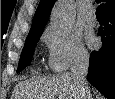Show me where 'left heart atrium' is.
<instances>
[{
  "label": "left heart atrium",
  "mask_w": 115,
  "mask_h": 99,
  "mask_svg": "<svg viewBox=\"0 0 115 99\" xmlns=\"http://www.w3.org/2000/svg\"><path fill=\"white\" fill-rule=\"evenodd\" d=\"M89 44L93 47L96 44V39L93 36L88 38Z\"/></svg>",
  "instance_id": "1"
}]
</instances>
